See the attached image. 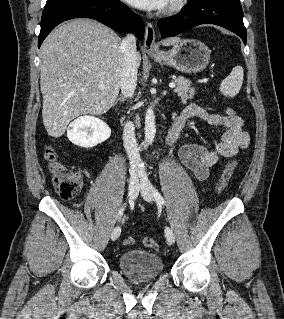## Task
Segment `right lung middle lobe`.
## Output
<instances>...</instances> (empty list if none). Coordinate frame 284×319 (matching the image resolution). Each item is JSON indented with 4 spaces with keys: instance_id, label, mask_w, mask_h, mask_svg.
<instances>
[{
    "instance_id": "obj_1",
    "label": "right lung middle lobe",
    "mask_w": 284,
    "mask_h": 319,
    "mask_svg": "<svg viewBox=\"0 0 284 319\" xmlns=\"http://www.w3.org/2000/svg\"><path fill=\"white\" fill-rule=\"evenodd\" d=\"M58 0H47L46 4H50V3H53V2H56Z\"/></svg>"
}]
</instances>
